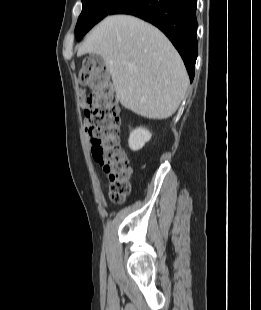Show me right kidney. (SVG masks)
I'll use <instances>...</instances> for the list:
<instances>
[{
  "label": "right kidney",
  "instance_id": "1",
  "mask_svg": "<svg viewBox=\"0 0 261 310\" xmlns=\"http://www.w3.org/2000/svg\"><path fill=\"white\" fill-rule=\"evenodd\" d=\"M152 134L145 128L139 127L133 130L129 136V147L133 151L140 150L151 139Z\"/></svg>",
  "mask_w": 261,
  "mask_h": 310
}]
</instances>
